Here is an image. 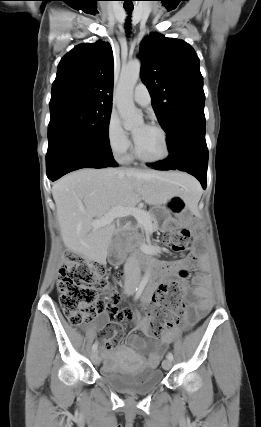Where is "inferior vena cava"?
<instances>
[{
  "mask_svg": "<svg viewBox=\"0 0 261 427\" xmlns=\"http://www.w3.org/2000/svg\"><path fill=\"white\" fill-rule=\"evenodd\" d=\"M125 285L126 286H138L141 278V271L137 260L131 254L124 265Z\"/></svg>",
  "mask_w": 261,
  "mask_h": 427,
  "instance_id": "1",
  "label": "inferior vena cava"
}]
</instances>
